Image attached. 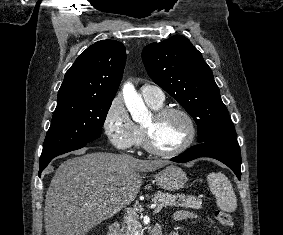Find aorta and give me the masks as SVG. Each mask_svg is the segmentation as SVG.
I'll use <instances>...</instances> for the list:
<instances>
[{"label": "aorta", "mask_w": 283, "mask_h": 235, "mask_svg": "<svg viewBox=\"0 0 283 235\" xmlns=\"http://www.w3.org/2000/svg\"><path fill=\"white\" fill-rule=\"evenodd\" d=\"M123 98L125 105L130 112L132 118L136 122H140L149 116V111L146 108L142 97L136 92L131 83L123 86Z\"/></svg>", "instance_id": "obj_1"}]
</instances>
